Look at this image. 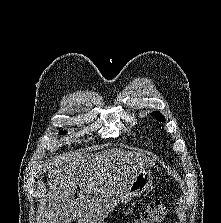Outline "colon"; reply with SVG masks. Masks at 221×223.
I'll list each match as a JSON object with an SVG mask.
<instances>
[{"mask_svg":"<svg viewBox=\"0 0 221 223\" xmlns=\"http://www.w3.org/2000/svg\"><path fill=\"white\" fill-rule=\"evenodd\" d=\"M166 214L165 205L156 200L149 204L133 223H160Z\"/></svg>","mask_w":221,"mask_h":223,"instance_id":"obj_1","label":"colon"}]
</instances>
